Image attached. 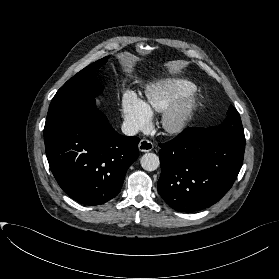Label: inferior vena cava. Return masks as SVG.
Returning a JSON list of instances; mask_svg holds the SVG:
<instances>
[{"label": "inferior vena cava", "instance_id": "1", "mask_svg": "<svg viewBox=\"0 0 279 279\" xmlns=\"http://www.w3.org/2000/svg\"><path fill=\"white\" fill-rule=\"evenodd\" d=\"M122 132L127 136H134L138 133V126L131 121H124L122 124Z\"/></svg>", "mask_w": 279, "mask_h": 279}]
</instances>
